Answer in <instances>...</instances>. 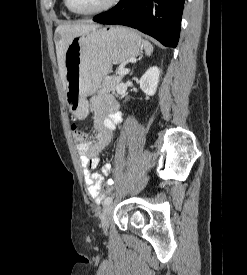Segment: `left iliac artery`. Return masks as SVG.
Instances as JSON below:
<instances>
[{"label":"left iliac artery","instance_id":"obj_1","mask_svg":"<svg viewBox=\"0 0 247 275\" xmlns=\"http://www.w3.org/2000/svg\"><path fill=\"white\" fill-rule=\"evenodd\" d=\"M110 203H112V197H111V196H108V197L104 200V204H105V205H108V204H110Z\"/></svg>","mask_w":247,"mask_h":275}]
</instances>
